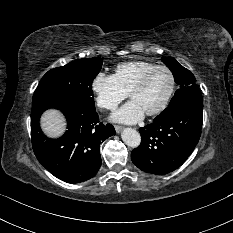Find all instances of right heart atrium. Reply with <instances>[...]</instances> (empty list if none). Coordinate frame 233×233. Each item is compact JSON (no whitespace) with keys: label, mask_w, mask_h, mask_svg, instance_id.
Returning a JSON list of instances; mask_svg holds the SVG:
<instances>
[{"label":"right heart atrium","mask_w":233,"mask_h":233,"mask_svg":"<svg viewBox=\"0 0 233 233\" xmlns=\"http://www.w3.org/2000/svg\"><path fill=\"white\" fill-rule=\"evenodd\" d=\"M91 90L99 108L113 110L127 97L113 75L104 72L95 74L91 81Z\"/></svg>","instance_id":"obj_1"}]
</instances>
